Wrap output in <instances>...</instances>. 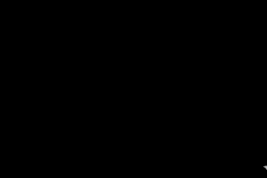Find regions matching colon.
Instances as JSON below:
<instances>
[{"label": "colon", "mask_w": 267, "mask_h": 178, "mask_svg": "<svg viewBox=\"0 0 267 178\" xmlns=\"http://www.w3.org/2000/svg\"><path fill=\"white\" fill-rule=\"evenodd\" d=\"M184 47L187 52H192L194 50V46L191 43H185Z\"/></svg>", "instance_id": "5ec220e1"}]
</instances>
